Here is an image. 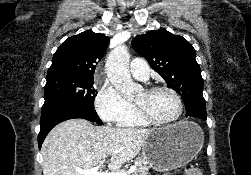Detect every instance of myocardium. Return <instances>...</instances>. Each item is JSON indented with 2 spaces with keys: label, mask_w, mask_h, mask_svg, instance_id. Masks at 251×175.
I'll list each match as a JSON object with an SVG mask.
<instances>
[{
  "label": "myocardium",
  "mask_w": 251,
  "mask_h": 175,
  "mask_svg": "<svg viewBox=\"0 0 251 175\" xmlns=\"http://www.w3.org/2000/svg\"><path fill=\"white\" fill-rule=\"evenodd\" d=\"M148 90H150V91H159V90L170 91L175 96V98L178 102L179 115L173 121L163 122V121L157 120L151 114L142 112L141 110H139L136 107L137 113L142 119H144L147 123L158 126V127H172V126L180 124L184 120V118H185V104H184L181 93L177 89H175L174 87H171L169 85L164 84V85H157V86L150 87V88H148Z\"/></svg>",
  "instance_id": "obj_1"
}]
</instances>
